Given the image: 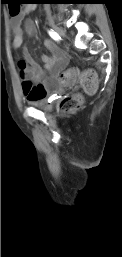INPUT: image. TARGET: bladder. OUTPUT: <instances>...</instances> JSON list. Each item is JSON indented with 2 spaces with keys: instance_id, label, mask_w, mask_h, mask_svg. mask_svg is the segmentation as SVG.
<instances>
[{
  "instance_id": "bladder-1",
  "label": "bladder",
  "mask_w": 122,
  "mask_h": 257,
  "mask_svg": "<svg viewBox=\"0 0 122 257\" xmlns=\"http://www.w3.org/2000/svg\"><path fill=\"white\" fill-rule=\"evenodd\" d=\"M29 103L35 107V108H38L40 110H48L49 109V104H48V101L46 98H43V99H38V100H31L29 101Z\"/></svg>"
}]
</instances>
